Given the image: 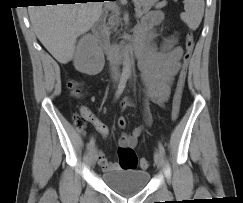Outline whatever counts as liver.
<instances>
[{"label":"liver","mask_w":243,"mask_h":203,"mask_svg":"<svg viewBox=\"0 0 243 203\" xmlns=\"http://www.w3.org/2000/svg\"><path fill=\"white\" fill-rule=\"evenodd\" d=\"M103 2L31 6L30 21L39 41L62 64L74 55L76 39L102 14Z\"/></svg>","instance_id":"liver-1"}]
</instances>
